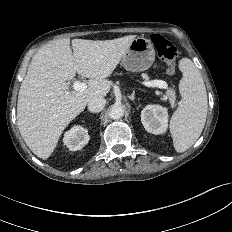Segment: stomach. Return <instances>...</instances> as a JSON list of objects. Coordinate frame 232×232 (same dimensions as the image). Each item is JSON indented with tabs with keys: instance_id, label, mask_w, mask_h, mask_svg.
<instances>
[{
	"instance_id": "0dacf381",
	"label": "stomach",
	"mask_w": 232,
	"mask_h": 232,
	"mask_svg": "<svg viewBox=\"0 0 232 232\" xmlns=\"http://www.w3.org/2000/svg\"><path fill=\"white\" fill-rule=\"evenodd\" d=\"M155 51L151 41L144 37L135 38L122 58L123 67L131 72L148 69L154 62Z\"/></svg>"
}]
</instances>
